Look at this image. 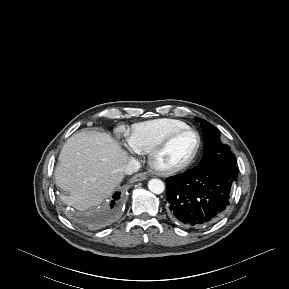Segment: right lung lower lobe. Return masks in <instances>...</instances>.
Returning <instances> with one entry per match:
<instances>
[{"label": "right lung lower lobe", "instance_id": "1", "mask_svg": "<svg viewBox=\"0 0 289 289\" xmlns=\"http://www.w3.org/2000/svg\"><path fill=\"white\" fill-rule=\"evenodd\" d=\"M120 198V193L119 192H116L113 196V201L111 202V208L114 207L115 205V201H117L118 199ZM115 215V210H107V211H104L102 212L98 218L101 220V221H110Z\"/></svg>", "mask_w": 289, "mask_h": 289}]
</instances>
